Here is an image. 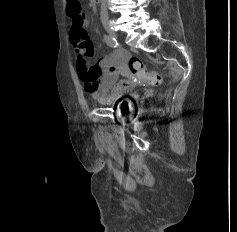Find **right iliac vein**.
I'll return each mask as SVG.
<instances>
[{"instance_id":"right-iliac-vein-1","label":"right iliac vein","mask_w":237,"mask_h":232,"mask_svg":"<svg viewBox=\"0 0 237 232\" xmlns=\"http://www.w3.org/2000/svg\"><path fill=\"white\" fill-rule=\"evenodd\" d=\"M106 29H107L112 35H115V33L110 30L109 26H106Z\"/></svg>"}]
</instances>
